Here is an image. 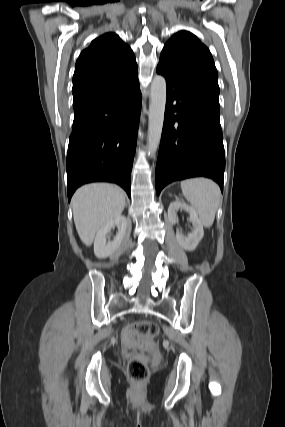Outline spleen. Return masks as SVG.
<instances>
[{
	"instance_id": "obj_1",
	"label": "spleen",
	"mask_w": 285,
	"mask_h": 427,
	"mask_svg": "<svg viewBox=\"0 0 285 427\" xmlns=\"http://www.w3.org/2000/svg\"><path fill=\"white\" fill-rule=\"evenodd\" d=\"M181 189L202 225L211 227L221 198L219 186L207 178H192L182 181Z\"/></svg>"
}]
</instances>
